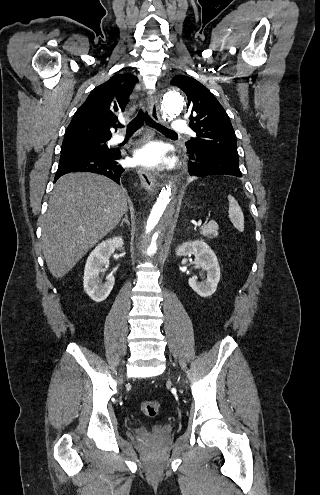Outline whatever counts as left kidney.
Masks as SVG:
<instances>
[{
  "label": "left kidney",
  "instance_id": "left-kidney-1",
  "mask_svg": "<svg viewBox=\"0 0 320 495\" xmlns=\"http://www.w3.org/2000/svg\"><path fill=\"white\" fill-rule=\"evenodd\" d=\"M195 256V264L206 271L207 277L198 282L196 277L188 280L190 287L201 297L211 296L220 280V266L213 250L202 240L185 242L176 249L177 256Z\"/></svg>",
  "mask_w": 320,
  "mask_h": 495
}]
</instances>
